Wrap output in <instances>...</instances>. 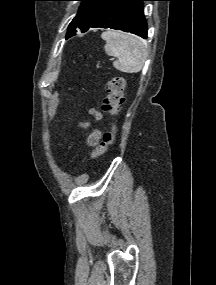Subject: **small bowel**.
Segmentation results:
<instances>
[{
  "label": "small bowel",
  "mask_w": 216,
  "mask_h": 285,
  "mask_svg": "<svg viewBox=\"0 0 216 285\" xmlns=\"http://www.w3.org/2000/svg\"><path fill=\"white\" fill-rule=\"evenodd\" d=\"M100 138V133L99 132H94L88 137V143L91 145H94L98 142Z\"/></svg>",
  "instance_id": "obj_1"
}]
</instances>
